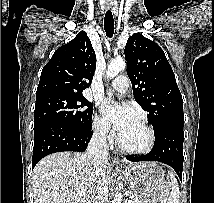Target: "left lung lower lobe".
I'll use <instances>...</instances> for the list:
<instances>
[{
  "mask_svg": "<svg viewBox=\"0 0 214 203\" xmlns=\"http://www.w3.org/2000/svg\"><path fill=\"white\" fill-rule=\"evenodd\" d=\"M183 125L171 124L155 136L154 147L146 155L127 156L130 162L159 161L171 166L182 180L183 169Z\"/></svg>",
  "mask_w": 214,
  "mask_h": 203,
  "instance_id": "1",
  "label": "left lung lower lobe"
}]
</instances>
